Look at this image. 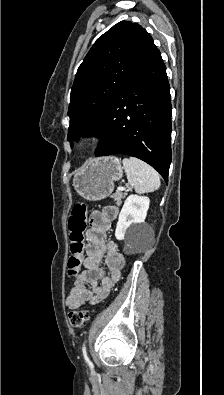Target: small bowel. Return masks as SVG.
I'll return each mask as SVG.
<instances>
[{"instance_id":"1","label":"small bowel","mask_w":224,"mask_h":395,"mask_svg":"<svg viewBox=\"0 0 224 395\" xmlns=\"http://www.w3.org/2000/svg\"><path fill=\"white\" fill-rule=\"evenodd\" d=\"M118 214L114 206L102 212L92 214L91 226L86 233V257L83 259L84 270L74 282L67 298L68 308H76L85 302L91 304L104 300L119 280L125 260L114 241H106L107 231L112 227ZM105 261L107 272L101 267Z\"/></svg>"}]
</instances>
